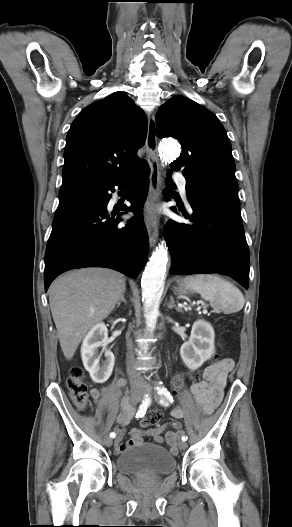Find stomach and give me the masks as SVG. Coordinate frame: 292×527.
Here are the masks:
<instances>
[{"mask_svg": "<svg viewBox=\"0 0 292 527\" xmlns=\"http://www.w3.org/2000/svg\"><path fill=\"white\" fill-rule=\"evenodd\" d=\"M176 291L178 292V294L181 296V297H186V295H188L189 293L192 292V290L188 287H186L183 283H181L179 285L178 288H176Z\"/></svg>", "mask_w": 292, "mask_h": 527, "instance_id": "0dacf381", "label": "stomach"}]
</instances>
